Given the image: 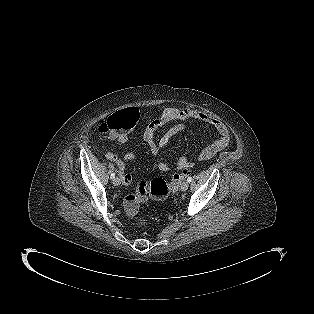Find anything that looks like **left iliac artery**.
<instances>
[{"mask_svg": "<svg viewBox=\"0 0 314 314\" xmlns=\"http://www.w3.org/2000/svg\"><path fill=\"white\" fill-rule=\"evenodd\" d=\"M191 181H192V177L190 176L187 178V182L190 183Z\"/></svg>", "mask_w": 314, "mask_h": 314, "instance_id": "1", "label": "left iliac artery"}]
</instances>
